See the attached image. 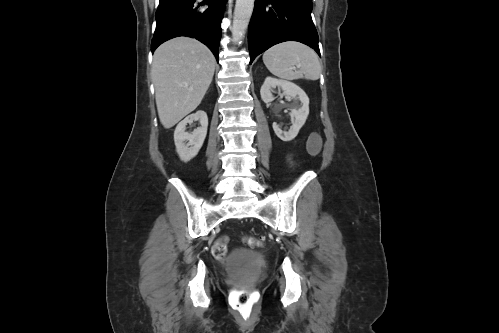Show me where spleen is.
I'll return each instance as SVG.
<instances>
[{"instance_id": "obj_1", "label": "spleen", "mask_w": 499, "mask_h": 333, "mask_svg": "<svg viewBox=\"0 0 499 333\" xmlns=\"http://www.w3.org/2000/svg\"><path fill=\"white\" fill-rule=\"evenodd\" d=\"M263 62L273 75L287 80H317L321 73L316 53L308 46L294 41L277 44L265 51ZM295 66L299 70H295Z\"/></svg>"}]
</instances>
